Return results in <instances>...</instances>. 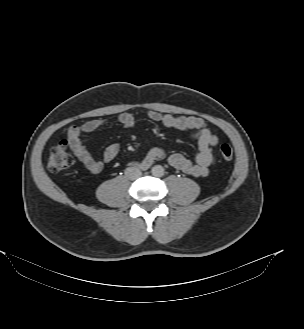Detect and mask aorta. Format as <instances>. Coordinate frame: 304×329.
Instances as JSON below:
<instances>
[{
	"label": "aorta",
	"mask_w": 304,
	"mask_h": 329,
	"mask_svg": "<svg viewBox=\"0 0 304 329\" xmlns=\"http://www.w3.org/2000/svg\"><path fill=\"white\" fill-rule=\"evenodd\" d=\"M152 174L156 177H161L164 175V168L161 165H156L151 170Z\"/></svg>",
	"instance_id": "1"
}]
</instances>
